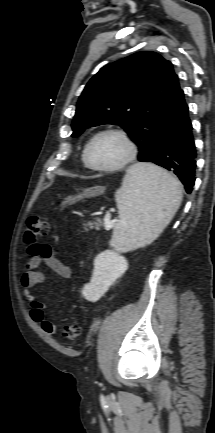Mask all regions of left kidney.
Here are the masks:
<instances>
[{"instance_id":"left-kidney-1","label":"left kidney","mask_w":215,"mask_h":433,"mask_svg":"<svg viewBox=\"0 0 215 433\" xmlns=\"http://www.w3.org/2000/svg\"><path fill=\"white\" fill-rule=\"evenodd\" d=\"M127 268V260L117 252L113 250L101 252L94 260L90 283L85 284L82 289L83 297L90 302L98 301Z\"/></svg>"}]
</instances>
